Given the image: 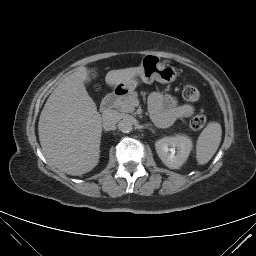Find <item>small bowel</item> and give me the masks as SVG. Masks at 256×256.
I'll list each match as a JSON object with an SVG mask.
<instances>
[{
  "label": "small bowel",
  "instance_id": "c3829d8e",
  "mask_svg": "<svg viewBox=\"0 0 256 256\" xmlns=\"http://www.w3.org/2000/svg\"><path fill=\"white\" fill-rule=\"evenodd\" d=\"M193 112L192 105L179 104L171 95L155 92L150 96V113L158 126H169L176 119L190 117Z\"/></svg>",
  "mask_w": 256,
  "mask_h": 256
}]
</instances>
